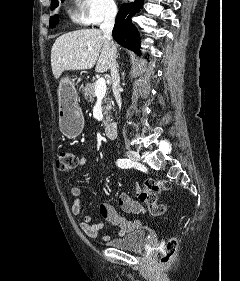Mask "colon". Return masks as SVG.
<instances>
[{"instance_id": "obj_1", "label": "colon", "mask_w": 240, "mask_h": 281, "mask_svg": "<svg viewBox=\"0 0 240 281\" xmlns=\"http://www.w3.org/2000/svg\"><path fill=\"white\" fill-rule=\"evenodd\" d=\"M78 158L71 150H63L59 153L56 166L60 171L68 172L77 167ZM171 185L164 180L147 179L142 187L137 189L138 199L145 203L152 216L158 217L166 212V207L158 202V194L168 191ZM178 240L175 237L169 238L158 248L160 261L167 264L176 254Z\"/></svg>"}]
</instances>
